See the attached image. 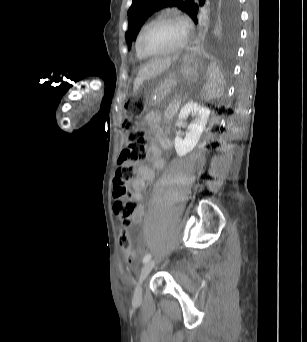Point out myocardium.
<instances>
[{
  "label": "myocardium",
  "mask_w": 307,
  "mask_h": 342,
  "mask_svg": "<svg viewBox=\"0 0 307 342\" xmlns=\"http://www.w3.org/2000/svg\"><path fill=\"white\" fill-rule=\"evenodd\" d=\"M163 21L175 23L180 28V30L182 32V38H181L180 42L175 47H173L167 51H164V52L159 53V54H154V55L148 54L143 49L144 37L146 36V34L149 32V30L154 25H156L159 22H163ZM187 42H188V36H187V32H186V29H185L183 22L175 16L167 15V14H161V15H158L156 17L151 18L150 20H148L145 23V25L143 26V29L140 32L139 38H138L137 48H138L139 54L141 56H143L145 59L156 60V59H160V58L181 52L186 47Z\"/></svg>",
  "instance_id": "obj_1"
}]
</instances>
